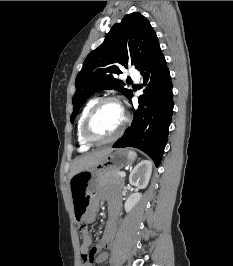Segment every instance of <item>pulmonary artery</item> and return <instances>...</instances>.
Here are the masks:
<instances>
[{"label":"pulmonary artery","mask_w":233,"mask_h":266,"mask_svg":"<svg viewBox=\"0 0 233 266\" xmlns=\"http://www.w3.org/2000/svg\"><path fill=\"white\" fill-rule=\"evenodd\" d=\"M129 75L135 81H139V79H140V74L136 70L130 71Z\"/></svg>","instance_id":"1"}]
</instances>
